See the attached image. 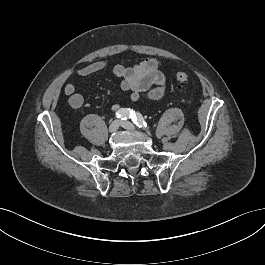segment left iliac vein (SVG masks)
Wrapping results in <instances>:
<instances>
[{
	"mask_svg": "<svg viewBox=\"0 0 265 265\" xmlns=\"http://www.w3.org/2000/svg\"><path fill=\"white\" fill-rule=\"evenodd\" d=\"M120 125L125 129L131 130V131H136L134 125L129 121H121Z\"/></svg>",
	"mask_w": 265,
	"mask_h": 265,
	"instance_id": "obj_1",
	"label": "left iliac vein"
}]
</instances>
